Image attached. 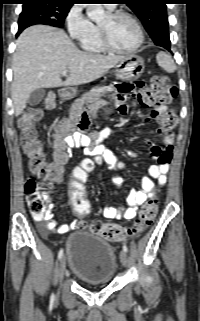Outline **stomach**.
Masks as SVG:
<instances>
[{"label": "stomach", "mask_w": 200, "mask_h": 321, "mask_svg": "<svg viewBox=\"0 0 200 321\" xmlns=\"http://www.w3.org/2000/svg\"><path fill=\"white\" fill-rule=\"evenodd\" d=\"M144 71V60L137 55L125 56L117 65L115 75L117 79L132 81L138 79ZM76 95L75 89L66 91L65 96L72 98Z\"/></svg>", "instance_id": "1"}]
</instances>
